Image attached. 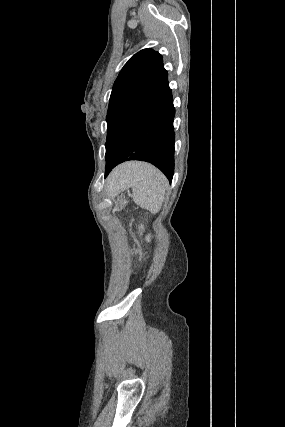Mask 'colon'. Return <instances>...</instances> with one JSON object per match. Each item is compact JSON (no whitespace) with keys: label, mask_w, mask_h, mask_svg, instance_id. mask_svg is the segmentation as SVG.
Segmentation results:
<instances>
[{"label":"colon","mask_w":285,"mask_h":427,"mask_svg":"<svg viewBox=\"0 0 285 427\" xmlns=\"http://www.w3.org/2000/svg\"><path fill=\"white\" fill-rule=\"evenodd\" d=\"M139 229H140L141 235H143L145 237V239H148L149 235L147 233H145L141 227Z\"/></svg>","instance_id":"obj_1"}]
</instances>
